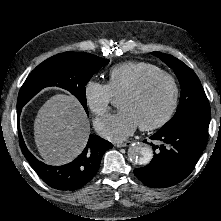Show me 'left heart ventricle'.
<instances>
[{
  "mask_svg": "<svg viewBox=\"0 0 221 221\" xmlns=\"http://www.w3.org/2000/svg\"><path fill=\"white\" fill-rule=\"evenodd\" d=\"M171 97L170 83L164 78H159L139 95L121 96L118 100V107L121 110L130 111L139 125L150 124L165 114L170 105Z\"/></svg>",
  "mask_w": 221,
  "mask_h": 221,
  "instance_id": "obj_1",
  "label": "left heart ventricle"
}]
</instances>
